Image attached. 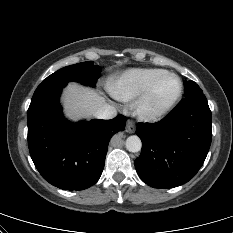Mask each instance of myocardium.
<instances>
[{
  "mask_svg": "<svg viewBox=\"0 0 233 233\" xmlns=\"http://www.w3.org/2000/svg\"><path fill=\"white\" fill-rule=\"evenodd\" d=\"M166 76L173 77L177 82L176 94L163 106L156 110H150L148 108L149 99L160 80ZM183 93V84L178 75L175 73L164 71L155 77L151 83L141 92V94L135 99L133 103V110L135 115L142 121L154 122L162 119L166 116L178 103Z\"/></svg>",
  "mask_w": 233,
  "mask_h": 233,
  "instance_id": "obj_1",
  "label": "myocardium"
}]
</instances>
